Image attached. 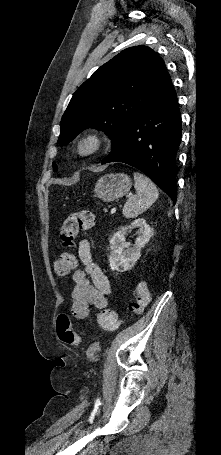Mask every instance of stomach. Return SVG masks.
<instances>
[{"instance_id": "1", "label": "stomach", "mask_w": 221, "mask_h": 455, "mask_svg": "<svg viewBox=\"0 0 221 455\" xmlns=\"http://www.w3.org/2000/svg\"><path fill=\"white\" fill-rule=\"evenodd\" d=\"M132 187L130 177L124 173L107 174L95 184V196L106 202H112L128 194Z\"/></svg>"}]
</instances>
